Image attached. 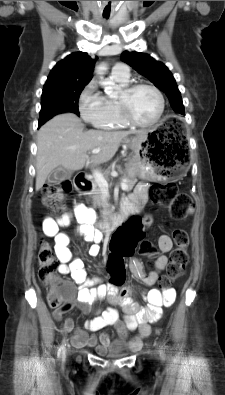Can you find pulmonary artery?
<instances>
[{
    "mask_svg": "<svg viewBox=\"0 0 225 395\" xmlns=\"http://www.w3.org/2000/svg\"><path fill=\"white\" fill-rule=\"evenodd\" d=\"M111 75L119 79L128 80L130 77L129 67L124 63H117L112 68Z\"/></svg>",
    "mask_w": 225,
    "mask_h": 395,
    "instance_id": "pulmonary-artery-1",
    "label": "pulmonary artery"
}]
</instances>
